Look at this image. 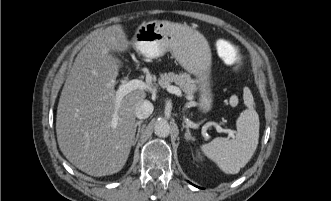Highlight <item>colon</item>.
I'll use <instances>...</instances> for the list:
<instances>
[{
  "mask_svg": "<svg viewBox=\"0 0 331 201\" xmlns=\"http://www.w3.org/2000/svg\"><path fill=\"white\" fill-rule=\"evenodd\" d=\"M218 54L225 64L238 67L242 62L238 47L228 40H221L217 45Z\"/></svg>",
  "mask_w": 331,
  "mask_h": 201,
  "instance_id": "obj_1",
  "label": "colon"
}]
</instances>
